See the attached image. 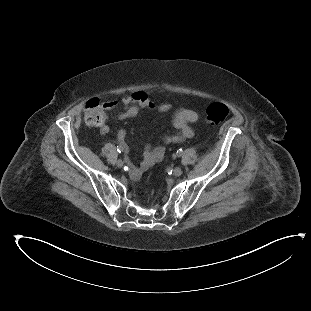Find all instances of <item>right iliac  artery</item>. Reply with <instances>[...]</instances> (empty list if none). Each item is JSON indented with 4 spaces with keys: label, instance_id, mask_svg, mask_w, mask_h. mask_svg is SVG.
Returning <instances> with one entry per match:
<instances>
[{
    "label": "right iliac artery",
    "instance_id": "obj_1",
    "mask_svg": "<svg viewBox=\"0 0 311 311\" xmlns=\"http://www.w3.org/2000/svg\"><path fill=\"white\" fill-rule=\"evenodd\" d=\"M117 151H118L119 153H121V152L124 151V148H123L121 145H119V146H117Z\"/></svg>",
    "mask_w": 311,
    "mask_h": 311
}]
</instances>
